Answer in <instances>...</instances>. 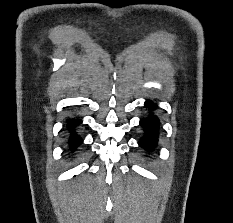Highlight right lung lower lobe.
<instances>
[{
    "instance_id": "right-lung-lower-lobe-1",
    "label": "right lung lower lobe",
    "mask_w": 233,
    "mask_h": 223,
    "mask_svg": "<svg viewBox=\"0 0 233 223\" xmlns=\"http://www.w3.org/2000/svg\"><path fill=\"white\" fill-rule=\"evenodd\" d=\"M80 123H81V120L79 119H71L67 123L68 129L71 132V136L69 138V146L71 150H74L76 147H78L82 143V139L78 135H76L74 131L72 130L74 127H76Z\"/></svg>"
}]
</instances>
